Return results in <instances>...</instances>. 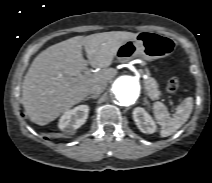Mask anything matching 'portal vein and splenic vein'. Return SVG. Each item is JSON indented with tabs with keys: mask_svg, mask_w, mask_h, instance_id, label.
Instances as JSON below:
<instances>
[{
	"mask_svg": "<svg viewBox=\"0 0 212 183\" xmlns=\"http://www.w3.org/2000/svg\"><path fill=\"white\" fill-rule=\"evenodd\" d=\"M88 74H90V72L89 71H85V75H88Z\"/></svg>",
	"mask_w": 212,
	"mask_h": 183,
	"instance_id": "18ae733b",
	"label": "portal vein and splenic vein"
}]
</instances>
